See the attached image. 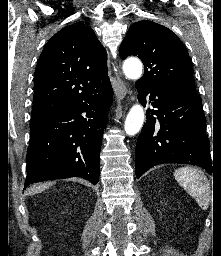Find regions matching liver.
Wrapping results in <instances>:
<instances>
[{"label": "liver", "mask_w": 221, "mask_h": 256, "mask_svg": "<svg viewBox=\"0 0 221 256\" xmlns=\"http://www.w3.org/2000/svg\"><path fill=\"white\" fill-rule=\"evenodd\" d=\"M52 184L53 182H48L40 185H33L27 190V194L29 195L37 194L40 191H43L44 189H47L48 187H50Z\"/></svg>", "instance_id": "6515ba94"}]
</instances>
